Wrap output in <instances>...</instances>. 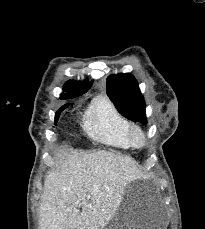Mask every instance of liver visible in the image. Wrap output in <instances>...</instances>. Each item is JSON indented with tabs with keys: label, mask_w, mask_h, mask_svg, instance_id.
<instances>
[{
	"label": "liver",
	"mask_w": 205,
	"mask_h": 229,
	"mask_svg": "<svg viewBox=\"0 0 205 229\" xmlns=\"http://www.w3.org/2000/svg\"><path fill=\"white\" fill-rule=\"evenodd\" d=\"M57 155L60 162L45 177L40 229H99L137 177L135 161L104 150L68 154L60 149Z\"/></svg>",
	"instance_id": "obj_1"
}]
</instances>
